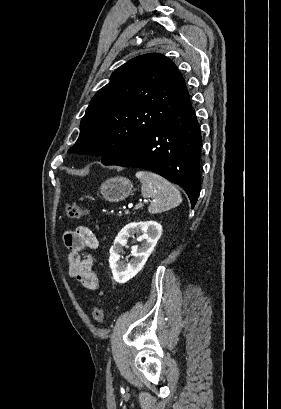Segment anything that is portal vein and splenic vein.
<instances>
[{
  "mask_svg": "<svg viewBox=\"0 0 281 409\" xmlns=\"http://www.w3.org/2000/svg\"><path fill=\"white\" fill-rule=\"evenodd\" d=\"M137 200H146V198H145V197H138ZM125 213H126V214H130V213H131V210H130V209H126V210H125Z\"/></svg>",
  "mask_w": 281,
  "mask_h": 409,
  "instance_id": "obj_1",
  "label": "portal vein and splenic vein"
}]
</instances>
